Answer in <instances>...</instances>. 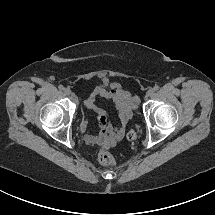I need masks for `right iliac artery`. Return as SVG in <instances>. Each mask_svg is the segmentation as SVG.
<instances>
[{"label": "right iliac artery", "mask_w": 215, "mask_h": 215, "mask_svg": "<svg viewBox=\"0 0 215 215\" xmlns=\"http://www.w3.org/2000/svg\"><path fill=\"white\" fill-rule=\"evenodd\" d=\"M58 88H59L60 90H64V86H63V85H59Z\"/></svg>", "instance_id": "obj_1"}]
</instances>
